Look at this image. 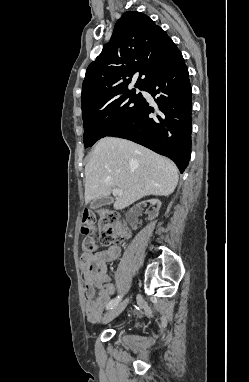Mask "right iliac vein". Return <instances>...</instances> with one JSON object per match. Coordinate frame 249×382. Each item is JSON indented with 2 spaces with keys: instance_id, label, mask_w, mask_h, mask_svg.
I'll return each mask as SVG.
<instances>
[{
  "instance_id": "1",
  "label": "right iliac vein",
  "mask_w": 249,
  "mask_h": 382,
  "mask_svg": "<svg viewBox=\"0 0 249 382\" xmlns=\"http://www.w3.org/2000/svg\"><path fill=\"white\" fill-rule=\"evenodd\" d=\"M127 303H128V299H125L123 300L122 302H120L119 304H117L116 306H114L103 318V321L105 323L113 320L114 318H116L124 309L125 307L127 306Z\"/></svg>"
}]
</instances>
